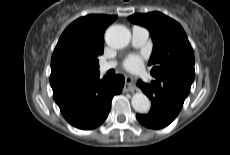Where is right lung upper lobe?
<instances>
[{"mask_svg": "<svg viewBox=\"0 0 230 155\" xmlns=\"http://www.w3.org/2000/svg\"><path fill=\"white\" fill-rule=\"evenodd\" d=\"M115 15H87L62 33L51 58V87L99 72L98 56L104 50V31Z\"/></svg>", "mask_w": 230, "mask_h": 155, "instance_id": "cb5924a9", "label": "right lung upper lobe"}]
</instances>
